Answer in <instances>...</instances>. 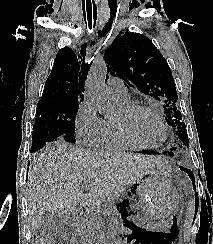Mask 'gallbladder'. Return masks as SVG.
Segmentation results:
<instances>
[{
  "label": "gallbladder",
  "instance_id": "1",
  "mask_svg": "<svg viewBox=\"0 0 213 244\" xmlns=\"http://www.w3.org/2000/svg\"><path fill=\"white\" fill-rule=\"evenodd\" d=\"M65 223L66 218L64 215L48 211L42 217L39 233L40 235L60 234L64 229Z\"/></svg>",
  "mask_w": 213,
  "mask_h": 244
}]
</instances>
